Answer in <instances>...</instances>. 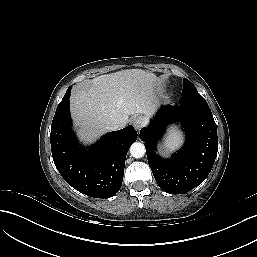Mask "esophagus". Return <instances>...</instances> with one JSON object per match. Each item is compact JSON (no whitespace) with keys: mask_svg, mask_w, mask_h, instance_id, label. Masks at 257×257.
Returning <instances> with one entry per match:
<instances>
[{"mask_svg":"<svg viewBox=\"0 0 257 257\" xmlns=\"http://www.w3.org/2000/svg\"><path fill=\"white\" fill-rule=\"evenodd\" d=\"M145 121L141 116L134 117L132 120V124L136 130H139L143 125Z\"/></svg>","mask_w":257,"mask_h":257,"instance_id":"1","label":"esophagus"}]
</instances>
